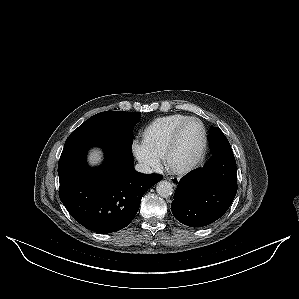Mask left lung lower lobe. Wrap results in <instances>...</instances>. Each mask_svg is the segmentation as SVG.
Returning <instances> with one entry per match:
<instances>
[{
  "instance_id": "1",
  "label": "left lung lower lobe",
  "mask_w": 299,
  "mask_h": 299,
  "mask_svg": "<svg viewBox=\"0 0 299 299\" xmlns=\"http://www.w3.org/2000/svg\"><path fill=\"white\" fill-rule=\"evenodd\" d=\"M211 158L203 168L180 179L171 211L181 223L203 227L219 219L237 192L236 162L231 148L210 146Z\"/></svg>"
}]
</instances>
